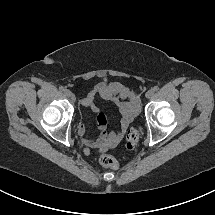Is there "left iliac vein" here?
Returning a JSON list of instances; mask_svg holds the SVG:
<instances>
[{
  "mask_svg": "<svg viewBox=\"0 0 215 215\" xmlns=\"http://www.w3.org/2000/svg\"><path fill=\"white\" fill-rule=\"evenodd\" d=\"M153 94H154L153 90H149V91L146 93V97H147V98H150Z\"/></svg>",
  "mask_w": 215,
  "mask_h": 215,
  "instance_id": "left-iliac-vein-1",
  "label": "left iliac vein"
}]
</instances>
